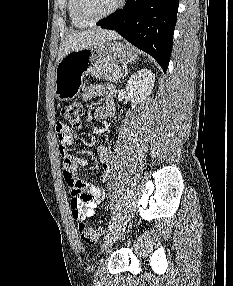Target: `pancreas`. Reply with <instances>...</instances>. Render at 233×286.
<instances>
[{"instance_id": "obj_1", "label": "pancreas", "mask_w": 233, "mask_h": 286, "mask_svg": "<svg viewBox=\"0 0 233 286\" xmlns=\"http://www.w3.org/2000/svg\"><path fill=\"white\" fill-rule=\"evenodd\" d=\"M121 72V67L118 65L113 64H105L101 67L96 68L95 70L91 71V75L93 77L99 79H105L107 81H112L114 83H118L120 78L116 77L115 74Z\"/></svg>"}]
</instances>
